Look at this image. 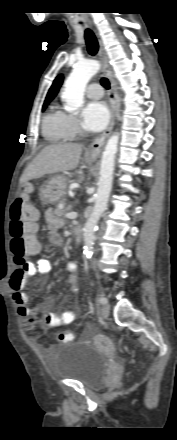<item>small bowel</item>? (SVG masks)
Listing matches in <instances>:
<instances>
[{
    "label": "small bowel",
    "instance_id": "obj_1",
    "mask_svg": "<svg viewBox=\"0 0 177 440\" xmlns=\"http://www.w3.org/2000/svg\"><path fill=\"white\" fill-rule=\"evenodd\" d=\"M45 221L47 224V234L51 245L62 246L64 239L59 233V230L64 226L62 218L55 215L52 209H48L45 212ZM69 271V282L73 291H77V265L74 262H69L67 265ZM51 271V262L48 259L39 258L35 261H30L24 266L16 268L8 281L10 290L12 291L13 300L17 305V312L21 318H27L30 314V308L27 306V295L24 292V288L27 279L37 274H47ZM43 308L46 311L45 321L50 327H58L61 325H67L72 323L76 318L75 311H65L62 313H56L51 311L49 303H45ZM46 333H44V336Z\"/></svg>",
    "mask_w": 177,
    "mask_h": 440
}]
</instances>
